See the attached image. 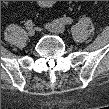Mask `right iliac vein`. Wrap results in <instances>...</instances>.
<instances>
[{"label": "right iliac vein", "instance_id": "obj_1", "mask_svg": "<svg viewBox=\"0 0 109 109\" xmlns=\"http://www.w3.org/2000/svg\"><path fill=\"white\" fill-rule=\"evenodd\" d=\"M28 35H29V36H34V35H35V29H32V28L29 29V30H28Z\"/></svg>", "mask_w": 109, "mask_h": 109}]
</instances>
